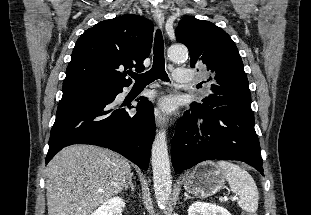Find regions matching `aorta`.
<instances>
[{
  "label": "aorta",
  "mask_w": 311,
  "mask_h": 215,
  "mask_svg": "<svg viewBox=\"0 0 311 215\" xmlns=\"http://www.w3.org/2000/svg\"><path fill=\"white\" fill-rule=\"evenodd\" d=\"M187 56L188 50L183 45H173L168 49V57L172 61H183ZM151 162L155 197L158 205L164 208L172 191V177L165 130H161L156 134L152 145Z\"/></svg>",
  "instance_id": "1"
}]
</instances>
